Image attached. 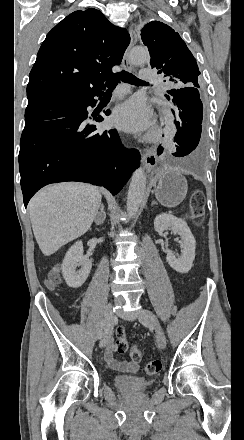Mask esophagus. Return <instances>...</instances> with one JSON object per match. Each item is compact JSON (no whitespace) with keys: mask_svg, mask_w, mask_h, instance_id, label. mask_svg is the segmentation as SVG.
I'll return each instance as SVG.
<instances>
[{"mask_svg":"<svg viewBox=\"0 0 244 440\" xmlns=\"http://www.w3.org/2000/svg\"><path fill=\"white\" fill-rule=\"evenodd\" d=\"M129 33H130L131 41H130L129 47L127 48V50L125 51V54L123 56L122 66L125 70L132 71L133 67L130 62V51H131L132 47H134V45L137 42V35L132 27L129 28ZM141 158H142V162L147 170L155 167V165L157 164L156 153H155L154 148H152V147L144 149L141 154Z\"/></svg>","mask_w":244,"mask_h":440,"instance_id":"esophagus-1","label":"esophagus"}]
</instances>
